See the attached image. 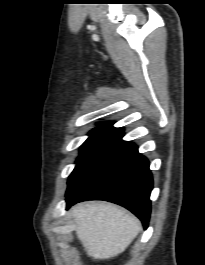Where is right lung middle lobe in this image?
<instances>
[{
	"label": "right lung middle lobe",
	"instance_id": "dd1d6c3e",
	"mask_svg": "<svg viewBox=\"0 0 205 265\" xmlns=\"http://www.w3.org/2000/svg\"><path fill=\"white\" fill-rule=\"evenodd\" d=\"M123 134L122 128L97 127L82 144L76 167L69 176L68 189H72L86 171L103 155V153Z\"/></svg>",
	"mask_w": 205,
	"mask_h": 265
}]
</instances>
